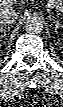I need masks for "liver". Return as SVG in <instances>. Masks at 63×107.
<instances>
[{
  "instance_id": "1",
  "label": "liver",
  "mask_w": 63,
  "mask_h": 107,
  "mask_svg": "<svg viewBox=\"0 0 63 107\" xmlns=\"http://www.w3.org/2000/svg\"><path fill=\"white\" fill-rule=\"evenodd\" d=\"M12 1L10 0H1L0 2V11L2 9H11Z\"/></svg>"
}]
</instances>
